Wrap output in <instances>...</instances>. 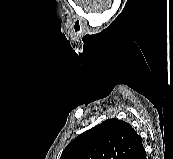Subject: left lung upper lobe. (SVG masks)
Returning a JSON list of instances; mask_svg holds the SVG:
<instances>
[{
  "label": "left lung upper lobe",
  "mask_w": 173,
  "mask_h": 159,
  "mask_svg": "<svg viewBox=\"0 0 173 159\" xmlns=\"http://www.w3.org/2000/svg\"><path fill=\"white\" fill-rule=\"evenodd\" d=\"M142 146L131 125L108 119L76 137L60 159H133Z\"/></svg>",
  "instance_id": "5c2ea615"
}]
</instances>
